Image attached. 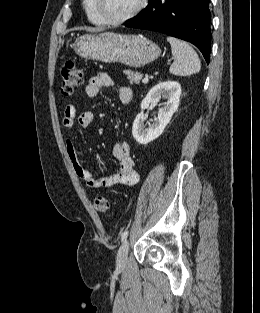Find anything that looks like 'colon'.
Here are the masks:
<instances>
[{
	"label": "colon",
	"mask_w": 260,
	"mask_h": 313,
	"mask_svg": "<svg viewBox=\"0 0 260 313\" xmlns=\"http://www.w3.org/2000/svg\"><path fill=\"white\" fill-rule=\"evenodd\" d=\"M83 84V73L73 60L66 61L61 68V91L65 95L73 94ZM94 207L97 212L107 214L111 206L107 198L97 196L94 199Z\"/></svg>",
	"instance_id": "5ec220e1"
}]
</instances>
